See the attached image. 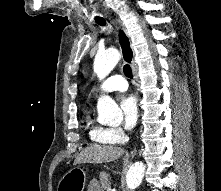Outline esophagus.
<instances>
[{
	"label": "esophagus",
	"mask_w": 221,
	"mask_h": 191,
	"mask_svg": "<svg viewBox=\"0 0 221 191\" xmlns=\"http://www.w3.org/2000/svg\"><path fill=\"white\" fill-rule=\"evenodd\" d=\"M110 20L116 29L117 38L121 46L123 58L125 61L131 62L133 75L135 78H137L136 68H135V63H134V50L132 48L131 40L126 31V28L124 27L123 23L119 19L111 18ZM136 153H137V150L134 149L133 151H131L130 156L133 157L136 155Z\"/></svg>",
	"instance_id": "esophagus-1"
}]
</instances>
